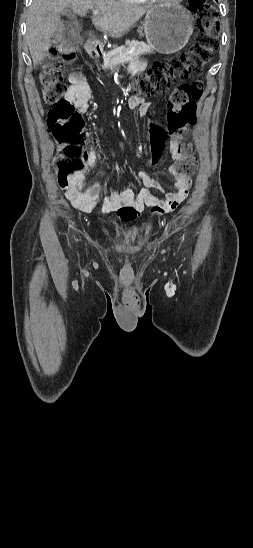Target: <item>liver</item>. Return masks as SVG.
Listing matches in <instances>:
<instances>
[{
  "label": "liver",
  "instance_id": "liver-1",
  "mask_svg": "<svg viewBox=\"0 0 253 548\" xmlns=\"http://www.w3.org/2000/svg\"><path fill=\"white\" fill-rule=\"evenodd\" d=\"M66 8L81 17H85L88 10H98L100 15L92 18L93 25L114 38L127 33L148 11V7L116 0H33L27 16L26 41L34 65L43 60L56 43L52 40L54 34L63 33L60 15Z\"/></svg>",
  "mask_w": 253,
  "mask_h": 548
}]
</instances>
